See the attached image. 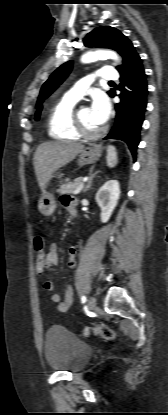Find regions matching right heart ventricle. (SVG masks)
Returning a JSON list of instances; mask_svg holds the SVG:
<instances>
[{
    "mask_svg": "<svg viewBox=\"0 0 168 415\" xmlns=\"http://www.w3.org/2000/svg\"><path fill=\"white\" fill-rule=\"evenodd\" d=\"M77 100L62 97L52 108L48 119V133L56 140H78L80 135L74 128L73 109Z\"/></svg>",
    "mask_w": 168,
    "mask_h": 415,
    "instance_id": "e07e8e85",
    "label": "right heart ventricle"
}]
</instances>
